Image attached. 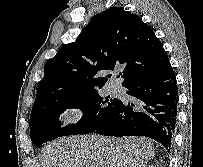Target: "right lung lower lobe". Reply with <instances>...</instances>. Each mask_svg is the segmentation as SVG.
<instances>
[{
  "mask_svg": "<svg viewBox=\"0 0 203 167\" xmlns=\"http://www.w3.org/2000/svg\"><path fill=\"white\" fill-rule=\"evenodd\" d=\"M136 101H121L94 132L109 136H146L170 151L176 125L178 91L168 63L161 70L125 86Z\"/></svg>",
  "mask_w": 203,
  "mask_h": 167,
  "instance_id": "right-lung-lower-lobe-1",
  "label": "right lung lower lobe"
}]
</instances>
